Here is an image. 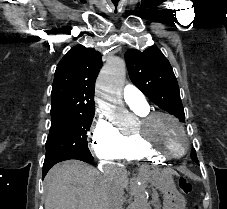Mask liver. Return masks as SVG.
I'll return each mask as SVG.
<instances>
[{
	"instance_id": "1",
	"label": "liver",
	"mask_w": 227,
	"mask_h": 209,
	"mask_svg": "<svg viewBox=\"0 0 227 209\" xmlns=\"http://www.w3.org/2000/svg\"><path fill=\"white\" fill-rule=\"evenodd\" d=\"M114 173L110 165L104 173L81 161L56 165L45 177V209H105Z\"/></svg>"
}]
</instances>
